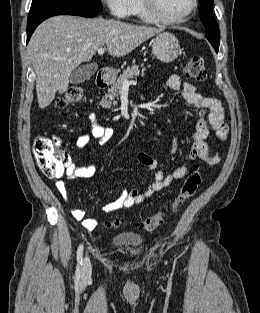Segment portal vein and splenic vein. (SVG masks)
<instances>
[{
	"label": "portal vein and splenic vein",
	"instance_id": "18ae733b",
	"mask_svg": "<svg viewBox=\"0 0 260 313\" xmlns=\"http://www.w3.org/2000/svg\"><path fill=\"white\" fill-rule=\"evenodd\" d=\"M104 53V49L103 48H99L98 49V54L99 55H102ZM134 84H136V82L135 81H128V80H125V81H123V83H122V88H129V86L130 85H134Z\"/></svg>",
	"mask_w": 260,
	"mask_h": 313
}]
</instances>
